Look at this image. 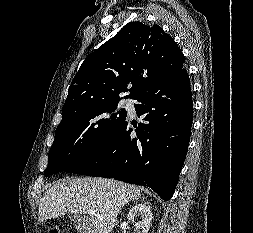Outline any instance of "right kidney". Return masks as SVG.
<instances>
[{
  "instance_id": "obj_1",
  "label": "right kidney",
  "mask_w": 253,
  "mask_h": 233,
  "mask_svg": "<svg viewBox=\"0 0 253 233\" xmlns=\"http://www.w3.org/2000/svg\"><path fill=\"white\" fill-rule=\"evenodd\" d=\"M136 216H140L142 219L135 224L136 233H148L152 220L150 204L148 202H141L133 206L127 215V219L134 222Z\"/></svg>"
}]
</instances>
